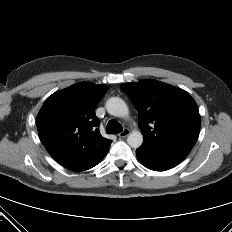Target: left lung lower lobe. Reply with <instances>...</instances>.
<instances>
[{
  "instance_id": "1",
  "label": "left lung lower lobe",
  "mask_w": 232,
  "mask_h": 232,
  "mask_svg": "<svg viewBox=\"0 0 232 232\" xmlns=\"http://www.w3.org/2000/svg\"><path fill=\"white\" fill-rule=\"evenodd\" d=\"M191 149L174 148L165 150H151L139 147L136 150L139 161L154 171H165L181 163Z\"/></svg>"
}]
</instances>
